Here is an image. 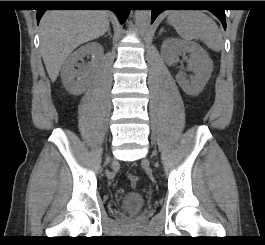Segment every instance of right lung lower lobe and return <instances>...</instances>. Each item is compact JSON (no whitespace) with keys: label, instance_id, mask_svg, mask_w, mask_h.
<instances>
[{"label":"right lung lower lobe","instance_id":"right-lung-lower-lobe-1","mask_svg":"<svg viewBox=\"0 0 265 245\" xmlns=\"http://www.w3.org/2000/svg\"><path fill=\"white\" fill-rule=\"evenodd\" d=\"M55 6H71V5H69L67 3H57V5H55ZM77 6H81V7H109L110 8L109 10H112L117 14L121 24H123L125 22V20L128 16V12H129L128 9L124 8L125 7L124 1H86V2L80 3ZM45 11H46L45 9L37 10V23H39L41 17L45 13Z\"/></svg>","mask_w":265,"mask_h":245}]
</instances>
